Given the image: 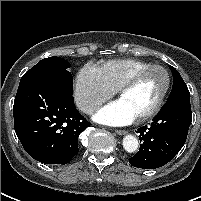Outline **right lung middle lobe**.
I'll list each match as a JSON object with an SVG mask.
<instances>
[{"label":"right lung middle lobe","mask_w":201,"mask_h":201,"mask_svg":"<svg viewBox=\"0 0 201 201\" xmlns=\"http://www.w3.org/2000/svg\"><path fill=\"white\" fill-rule=\"evenodd\" d=\"M68 61L60 57H49L39 61L34 67L28 70L20 81L31 77H46L61 82L63 85L73 89V76L67 68Z\"/></svg>","instance_id":"dd1d6c3e"}]
</instances>
